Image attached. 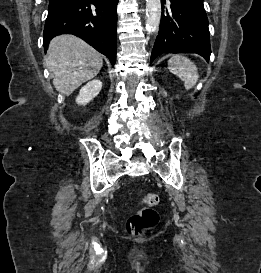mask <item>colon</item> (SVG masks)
I'll use <instances>...</instances> for the list:
<instances>
[{
  "label": "colon",
  "mask_w": 261,
  "mask_h": 273,
  "mask_svg": "<svg viewBox=\"0 0 261 273\" xmlns=\"http://www.w3.org/2000/svg\"><path fill=\"white\" fill-rule=\"evenodd\" d=\"M142 202L147 207L140 210L127 222V231L130 234H139L143 230L153 227L159 220L158 213L151 208L158 203V196L156 194H146L143 196Z\"/></svg>",
  "instance_id": "obj_1"
}]
</instances>
